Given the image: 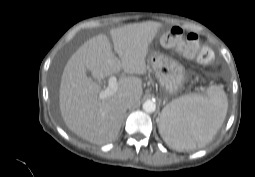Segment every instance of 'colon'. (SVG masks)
Segmentation results:
<instances>
[{
	"label": "colon",
	"instance_id": "1",
	"mask_svg": "<svg viewBox=\"0 0 255 177\" xmlns=\"http://www.w3.org/2000/svg\"><path fill=\"white\" fill-rule=\"evenodd\" d=\"M162 43L165 47L177 50L184 58L201 64H210L214 59L213 51L208 46H201L199 36L194 32L184 35L182 28L174 26L167 33Z\"/></svg>",
	"mask_w": 255,
	"mask_h": 177
}]
</instances>
